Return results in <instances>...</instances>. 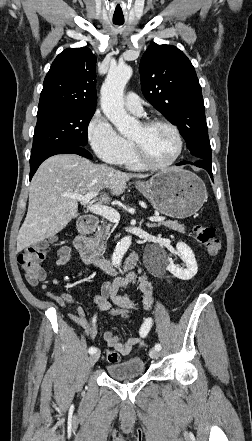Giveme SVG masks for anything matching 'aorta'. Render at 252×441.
Masks as SVG:
<instances>
[{
	"mask_svg": "<svg viewBox=\"0 0 252 441\" xmlns=\"http://www.w3.org/2000/svg\"><path fill=\"white\" fill-rule=\"evenodd\" d=\"M132 72V68L125 64L111 68L101 87V108L119 133L125 137L132 133L137 124L135 118L125 111L123 100L124 87L131 78ZM130 244V236H126L118 242L112 255V264L116 268L121 265Z\"/></svg>",
	"mask_w": 252,
	"mask_h": 441,
	"instance_id": "obj_1",
	"label": "aorta"
}]
</instances>
